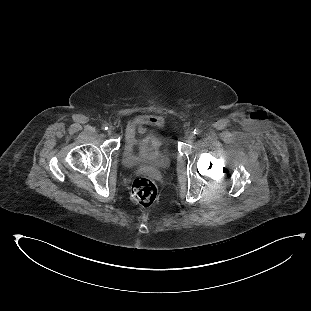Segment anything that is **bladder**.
I'll use <instances>...</instances> for the list:
<instances>
[{
  "label": "bladder",
  "instance_id": "31cf9c89",
  "mask_svg": "<svg viewBox=\"0 0 311 311\" xmlns=\"http://www.w3.org/2000/svg\"><path fill=\"white\" fill-rule=\"evenodd\" d=\"M173 151L171 145H165L164 136L151 130L141 137L126 135L123 147L125 164L131 169L164 171L170 165Z\"/></svg>",
  "mask_w": 311,
  "mask_h": 311
}]
</instances>
